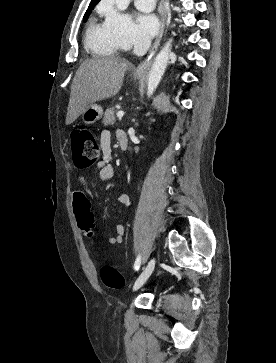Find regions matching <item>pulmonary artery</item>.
Wrapping results in <instances>:
<instances>
[{"label":"pulmonary artery","mask_w":276,"mask_h":363,"mask_svg":"<svg viewBox=\"0 0 276 363\" xmlns=\"http://www.w3.org/2000/svg\"><path fill=\"white\" fill-rule=\"evenodd\" d=\"M156 0H134L135 6L144 12H149L154 9Z\"/></svg>","instance_id":"1"}]
</instances>
